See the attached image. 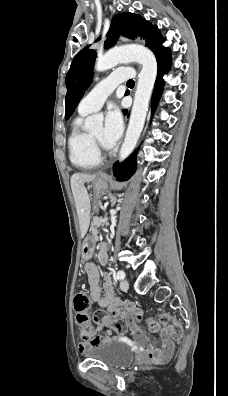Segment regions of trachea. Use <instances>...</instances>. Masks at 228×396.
I'll return each mask as SVG.
<instances>
[{
  "instance_id": "1",
  "label": "trachea",
  "mask_w": 228,
  "mask_h": 396,
  "mask_svg": "<svg viewBox=\"0 0 228 396\" xmlns=\"http://www.w3.org/2000/svg\"><path fill=\"white\" fill-rule=\"evenodd\" d=\"M133 83H134L133 80H128V81H127V84H133Z\"/></svg>"
}]
</instances>
